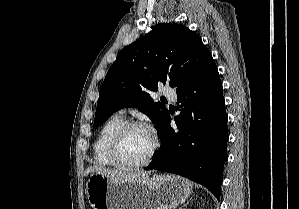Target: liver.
I'll return each mask as SVG.
<instances>
[{"label":"liver","mask_w":299,"mask_h":209,"mask_svg":"<svg viewBox=\"0 0 299 209\" xmlns=\"http://www.w3.org/2000/svg\"><path fill=\"white\" fill-rule=\"evenodd\" d=\"M89 173H98L102 174L112 180L120 181V182H138L145 180L148 178V175L150 174V171H144V170H127V169H121V170H113L109 168H104L98 165L90 166L85 171V176H87Z\"/></svg>","instance_id":"1"}]
</instances>
